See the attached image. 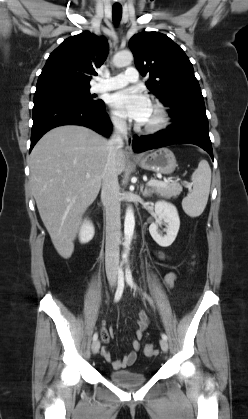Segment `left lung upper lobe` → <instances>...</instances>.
<instances>
[{
	"instance_id": "5c2ea615",
	"label": "left lung upper lobe",
	"mask_w": 248,
	"mask_h": 419,
	"mask_svg": "<svg viewBox=\"0 0 248 419\" xmlns=\"http://www.w3.org/2000/svg\"><path fill=\"white\" fill-rule=\"evenodd\" d=\"M129 47L141 75H150L148 89L171 108L170 116L192 107L205 108L192 63L167 35L142 32L130 39Z\"/></svg>"
}]
</instances>
